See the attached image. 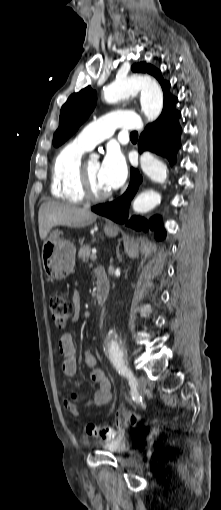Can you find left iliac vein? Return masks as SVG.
Wrapping results in <instances>:
<instances>
[{
	"mask_svg": "<svg viewBox=\"0 0 221 510\" xmlns=\"http://www.w3.org/2000/svg\"><path fill=\"white\" fill-rule=\"evenodd\" d=\"M146 378L143 375L137 377V388L141 395H143L146 388Z\"/></svg>",
	"mask_w": 221,
	"mask_h": 510,
	"instance_id": "obj_1",
	"label": "left iliac vein"
}]
</instances>
